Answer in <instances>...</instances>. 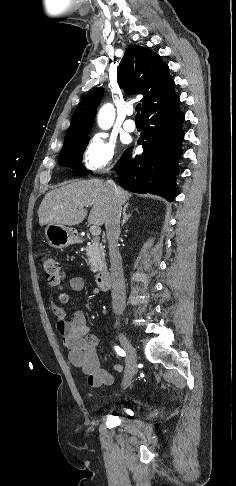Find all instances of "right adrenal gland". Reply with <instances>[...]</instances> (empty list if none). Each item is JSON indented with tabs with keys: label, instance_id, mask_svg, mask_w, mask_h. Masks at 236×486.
Here are the masks:
<instances>
[{
	"label": "right adrenal gland",
	"instance_id": "1",
	"mask_svg": "<svg viewBox=\"0 0 236 486\" xmlns=\"http://www.w3.org/2000/svg\"><path fill=\"white\" fill-rule=\"evenodd\" d=\"M127 207H128V205H125L124 208H123V220H122L121 226H123L126 223V221L131 217V214L126 213Z\"/></svg>",
	"mask_w": 236,
	"mask_h": 486
}]
</instances>
